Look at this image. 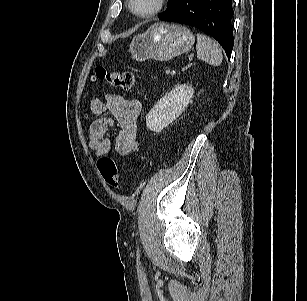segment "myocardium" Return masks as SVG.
<instances>
[{"label":"myocardium","mask_w":307,"mask_h":301,"mask_svg":"<svg viewBox=\"0 0 307 301\" xmlns=\"http://www.w3.org/2000/svg\"><path fill=\"white\" fill-rule=\"evenodd\" d=\"M167 0H157L156 6L149 12L140 13L133 7V0H128V8L130 12L139 18H150L159 14L165 7Z\"/></svg>","instance_id":"myocardium-1"}]
</instances>
